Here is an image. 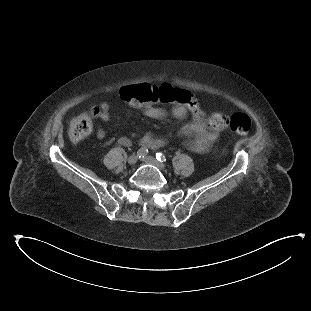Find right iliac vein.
I'll return each mask as SVG.
<instances>
[{
    "instance_id": "1",
    "label": "right iliac vein",
    "mask_w": 311,
    "mask_h": 311,
    "mask_svg": "<svg viewBox=\"0 0 311 311\" xmlns=\"http://www.w3.org/2000/svg\"><path fill=\"white\" fill-rule=\"evenodd\" d=\"M137 161H138V157L136 155H131L128 158V164L129 165H134V164H136Z\"/></svg>"
}]
</instances>
